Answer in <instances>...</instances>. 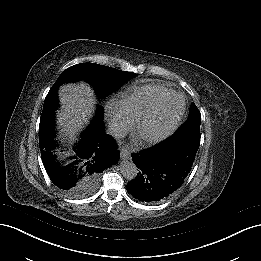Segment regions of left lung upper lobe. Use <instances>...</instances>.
<instances>
[{
	"mask_svg": "<svg viewBox=\"0 0 261 261\" xmlns=\"http://www.w3.org/2000/svg\"><path fill=\"white\" fill-rule=\"evenodd\" d=\"M200 123H201V115L196 107V105L192 102L190 106L189 116L186 122L176 131V135L180 137H184L193 141L196 144H200Z\"/></svg>",
	"mask_w": 261,
	"mask_h": 261,
	"instance_id": "left-lung-upper-lobe-1",
	"label": "left lung upper lobe"
}]
</instances>
